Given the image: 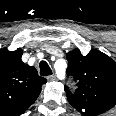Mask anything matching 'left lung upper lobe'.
<instances>
[{"label": "left lung upper lobe", "instance_id": "1", "mask_svg": "<svg viewBox=\"0 0 116 116\" xmlns=\"http://www.w3.org/2000/svg\"><path fill=\"white\" fill-rule=\"evenodd\" d=\"M67 75L77 79L73 94L65 86L69 103L81 114L99 115L116 105V62L99 50L83 56L79 49L68 52Z\"/></svg>", "mask_w": 116, "mask_h": 116}]
</instances>
